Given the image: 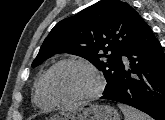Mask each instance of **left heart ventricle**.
Listing matches in <instances>:
<instances>
[{"mask_svg": "<svg viewBox=\"0 0 165 120\" xmlns=\"http://www.w3.org/2000/svg\"><path fill=\"white\" fill-rule=\"evenodd\" d=\"M50 86L59 98L72 99L91 92L96 86V79L87 68L67 64L54 71Z\"/></svg>", "mask_w": 165, "mask_h": 120, "instance_id": "b2bd125f", "label": "left heart ventricle"}]
</instances>
